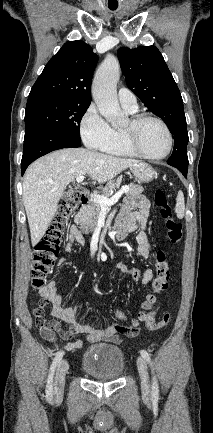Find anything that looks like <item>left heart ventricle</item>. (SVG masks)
Instances as JSON below:
<instances>
[{
    "label": "left heart ventricle",
    "instance_id": "left-heart-ventricle-1",
    "mask_svg": "<svg viewBox=\"0 0 213 433\" xmlns=\"http://www.w3.org/2000/svg\"><path fill=\"white\" fill-rule=\"evenodd\" d=\"M138 142L143 151L161 155L168 148V137L163 127L155 121L144 122L138 130Z\"/></svg>",
    "mask_w": 213,
    "mask_h": 433
}]
</instances>
